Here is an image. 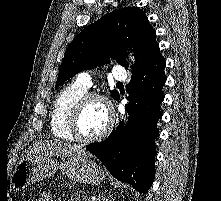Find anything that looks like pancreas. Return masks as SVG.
I'll return each instance as SVG.
<instances>
[{"instance_id":"cf45deb5","label":"pancreas","mask_w":221,"mask_h":201,"mask_svg":"<svg viewBox=\"0 0 221 201\" xmlns=\"http://www.w3.org/2000/svg\"><path fill=\"white\" fill-rule=\"evenodd\" d=\"M76 199H78V201H81V196H80V194L76 193ZM83 201H86V198H85Z\"/></svg>"}]
</instances>
